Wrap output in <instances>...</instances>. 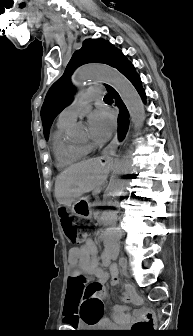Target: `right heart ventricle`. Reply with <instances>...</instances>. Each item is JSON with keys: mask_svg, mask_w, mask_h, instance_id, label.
Returning a JSON list of instances; mask_svg holds the SVG:
<instances>
[{"mask_svg": "<svg viewBox=\"0 0 193 336\" xmlns=\"http://www.w3.org/2000/svg\"><path fill=\"white\" fill-rule=\"evenodd\" d=\"M69 125H57L53 134V151L57 165L65 167L82 160L89 152V146L84 143L74 142L66 137Z\"/></svg>", "mask_w": 193, "mask_h": 336, "instance_id": "e07e8e85", "label": "right heart ventricle"}]
</instances>
